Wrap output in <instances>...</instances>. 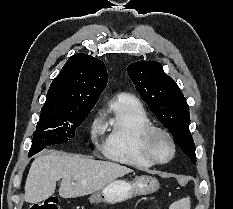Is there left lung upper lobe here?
<instances>
[{
  "mask_svg": "<svg viewBox=\"0 0 233 209\" xmlns=\"http://www.w3.org/2000/svg\"><path fill=\"white\" fill-rule=\"evenodd\" d=\"M127 73L143 101L195 165V144L189 132V106L176 82L165 74L157 61H137L127 67Z\"/></svg>",
  "mask_w": 233,
  "mask_h": 209,
  "instance_id": "left-lung-upper-lobe-1",
  "label": "left lung upper lobe"
}]
</instances>
